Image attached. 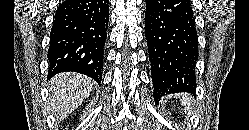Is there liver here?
<instances>
[{
  "instance_id": "liver-1",
  "label": "liver",
  "mask_w": 249,
  "mask_h": 130,
  "mask_svg": "<svg viewBox=\"0 0 249 130\" xmlns=\"http://www.w3.org/2000/svg\"><path fill=\"white\" fill-rule=\"evenodd\" d=\"M94 83L81 74L60 73L50 83V109L62 120L87 98Z\"/></svg>"
}]
</instances>
